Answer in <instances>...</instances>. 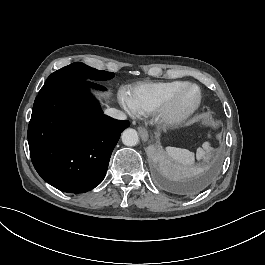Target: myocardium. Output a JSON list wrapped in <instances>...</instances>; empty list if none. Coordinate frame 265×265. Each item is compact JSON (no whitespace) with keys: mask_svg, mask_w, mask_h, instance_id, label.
Listing matches in <instances>:
<instances>
[{"mask_svg":"<svg viewBox=\"0 0 265 265\" xmlns=\"http://www.w3.org/2000/svg\"><path fill=\"white\" fill-rule=\"evenodd\" d=\"M189 87H195L198 91L193 104L183 107L180 104L184 92ZM204 92L200 84L193 81H185L173 94V96L158 109L157 121L164 127H178L192 117L202 106Z\"/></svg>","mask_w":265,"mask_h":265,"instance_id":"myocardium-1","label":"myocardium"}]
</instances>
